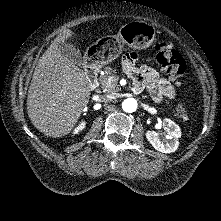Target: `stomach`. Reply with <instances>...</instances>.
I'll return each instance as SVG.
<instances>
[{
  "instance_id": "obj_1",
  "label": "stomach",
  "mask_w": 221,
  "mask_h": 221,
  "mask_svg": "<svg viewBox=\"0 0 221 221\" xmlns=\"http://www.w3.org/2000/svg\"><path fill=\"white\" fill-rule=\"evenodd\" d=\"M155 38V28L144 22H130L113 35L102 37L88 47L85 55L96 64L104 65L115 60L122 47L130 44L136 49H147Z\"/></svg>"
}]
</instances>
